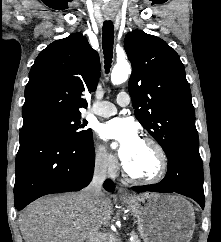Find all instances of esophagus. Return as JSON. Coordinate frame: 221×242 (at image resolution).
<instances>
[{"label":"esophagus","instance_id":"esophagus-1","mask_svg":"<svg viewBox=\"0 0 221 242\" xmlns=\"http://www.w3.org/2000/svg\"><path fill=\"white\" fill-rule=\"evenodd\" d=\"M118 195L120 196V197H129V194H128V192H127V190L125 189V188H123V187H119V189H118Z\"/></svg>","mask_w":221,"mask_h":242}]
</instances>
